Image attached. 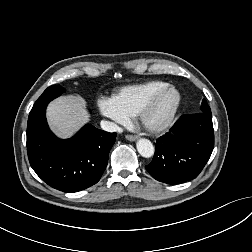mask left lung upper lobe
Returning a JSON list of instances; mask_svg holds the SVG:
<instances>
[{
    "instance_id": "left-lung-upper-lobe-1",
    "label": "left lung upper lobe",
    "mask_w": 252,
    "mask_h": 252,
    "mask_svg": "<svg viewBox=\"0 0 252 252\" xmlns=\"http://www.w3.org/2000/svg\"><path fill=\"white\" fill-rule=\"evenodd\" d=\"M200 112L211 113V109H210V107L208 106V104H207V102H206L205 99H204L203 102H202V106H201Z\"/></svg>"
}]
</instances>
